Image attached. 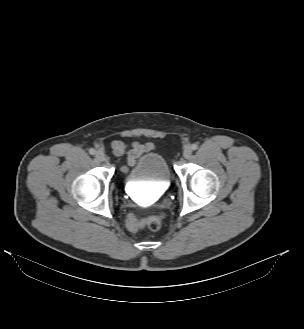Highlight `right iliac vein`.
<instances>
[{"label":"right iliac vein","instance_id":"1","mask_svg":"<svg viewBox=\"0 0 304 329\" xmlns=\"http://www.w3.org/2000/svg\"><path fill=\"white\" fill-rule=\"evenodd\" d=\"M95 157L101 162L105 160V154L102 151H97Z\"/></svg>","mask_w":304,"mask_h":329}]
</instances>
